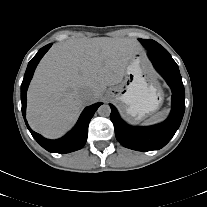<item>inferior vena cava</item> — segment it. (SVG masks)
Masks as SVG:
<instances>
[{
  "label": "inferior vena cava",
  "instance_id": "602c4592",
  "mask_svg": "<svg viewBox=\"0 0 207 207\" xmlns=\"http://www.w3.org/2000/svg\"><path fill=\"white\" fill-rule=\"evenodd\" d=\"M81 97L83 99H88L90 97V91L89 90H83L82 93H81Z\"/></svg>",
  "mask_w": 207,
  "mask_h": 207
}]
</instances>
